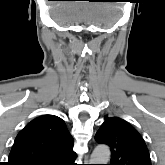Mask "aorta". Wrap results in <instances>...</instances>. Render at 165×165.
Segmentation results:
<instances>
[{
    "label": "aorta",
    "mask_w": 165,
    "mask_h": 165,
    "mask_svg": "<svg viewBox=\"0 0 165 165\" xmlns=\"http://www.w3.org/2000/svg\"><path fill=\"white\" fill-rule=\"evenodd\" d=\"M110 149L106 145H98L90 159V164H107L110 160Z\"/></svg>",
    "instance_id": "762f6f07"
}]
</instances>
